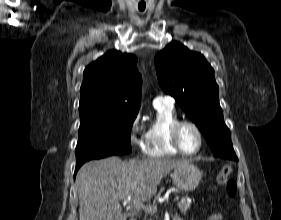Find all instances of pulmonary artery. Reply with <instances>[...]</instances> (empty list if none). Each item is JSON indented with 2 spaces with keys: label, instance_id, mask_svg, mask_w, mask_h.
I'll use <instances>...</instances> for the list:
<instances>
[{
  "label": "pulmonary artery",
  "instance_id": "pulmonary-artery-1",
  "mask_svg": "<svg viewBox=\"0 0 281 220\" xmlns=\"http://www.w3.org/2000/svg\"><path fill=\"white\" fill-rule=\"evenodd\" d=\"M153 103H154V104L163 103V104L173 105L174 100H173V98L170 97V96H167V95H159V96H157V97L154 99Z\"/></svg>",
  "mask_w": 281,
  "mask_h": 220
}]
</instances>
